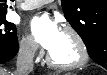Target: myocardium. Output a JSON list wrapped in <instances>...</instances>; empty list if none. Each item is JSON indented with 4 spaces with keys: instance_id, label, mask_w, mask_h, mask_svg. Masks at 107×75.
<instances>
[{
    "instance_id": "obj_1",
    "label": "myocardium",
    "mask_w": 107,
    "mask_h": 75,
    "mask_svg": "<svg viewBox=\"0 0 107 75\" xmlns=\"http://www.w3.org/2000/svg\"><path fill=\"white\" fill-rule=\"evenodd\" d=\"M63 32L69 34L76 42L79 49V59L70 64H59L53 60L51 54L47 55V63L50 67L57 70H72L84 66L89 60V51L82 36L71 26H65Z\"/></svg>"
}]
</instances>
